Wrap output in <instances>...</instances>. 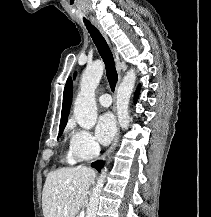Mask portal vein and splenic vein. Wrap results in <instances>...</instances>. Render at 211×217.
Listing matches in <instances>:
<instances>
[{
    "label": "portal vein and splenic vein",
    "mask_w": 211,
    "mask_h": 217,
    "mask_svg": "<svg viewBox=\"0 0 211 217\" xmlns=\"http://www.w3.org/2000/svg\"><path fill=\"white\" fill-rule=\"evenodd\" d=\"M79 217H84V212H81Z\"/></svg>",
    "instance_id": "portal-vein-and-splenic-vein-1"
}]
</instances>
